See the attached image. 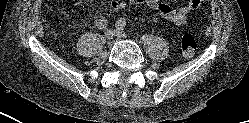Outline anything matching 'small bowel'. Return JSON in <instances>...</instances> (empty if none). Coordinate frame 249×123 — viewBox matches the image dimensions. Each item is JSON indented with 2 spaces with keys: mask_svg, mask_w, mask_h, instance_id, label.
<instances>
[{
  "mask_svg": "<svg viewBox=\"0 0 249 123\" xmlns=\"http://www.w3.org/2000/svg\"><path fill=\"white\" fill-rule=\"evenodd\" d=\"M74 2L77 4L80 0H74ZM201 3L202 0H189L185 5L174 8L162 0H113L108 7V11L122 10L129 5H144L151 10L157 11L165 20L180 27L186 23L190 13L199 9Z\"/></svg>",
  "mask_w": 249,
  "mask_h": 123,
  "instance_id": "1",
  "label": "small bowel"
}]
</instances>
